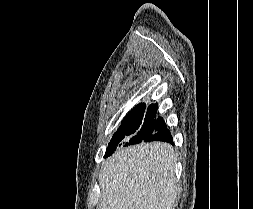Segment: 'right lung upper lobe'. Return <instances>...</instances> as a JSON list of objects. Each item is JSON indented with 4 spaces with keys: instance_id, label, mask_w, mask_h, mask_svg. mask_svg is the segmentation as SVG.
Listing matches in <instances>:
<instances>
[{
    "instance_id": "obj_1",
    "label": "right lung upper lobe",
    "mask_w": 253,
    "mask_h": 209,
    "mask_svg": "<svg viewBox=\"0 0 253 209\" xmlns=\"http://www.w3.org/2000/svg\"><path fill=\"white\" fill-rule=\"evenodd\" d=\"M155 104H151L148 108L151 109ZM145 110V104L144 103H141L139 105H137L135 108H133L126 116H131V115H134V114H137L141 111Z\"/></svg>"
}]
</instances>
